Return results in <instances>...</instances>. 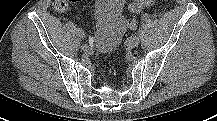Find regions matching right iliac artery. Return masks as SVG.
Segmentation results:
<instances>
[{
  "label": "right iliac artery",
  "mask_w": 217,
  "mask_h": 121,
  "mask_svg": "<svg viewBox=\"0 0 217 121\" xmlns=\"http://www.w3.org/2000/svg\"><path fill=\"white\" fill-rule=\"evenodd\" d=\"M77 35L81 38V39H85V34L83 32V30L81 29H77Z\"/></svg>",
  "instance_id": "obj_1"
}]
</instances>
